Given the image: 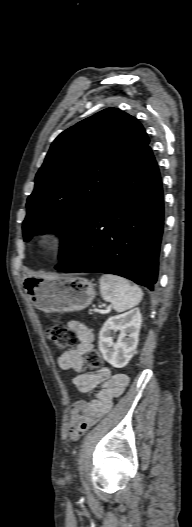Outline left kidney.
Segmentation results:
<instances>
[{
	"instance_id": "1",
	"label": "left kidney",
	"mask_w": 192,
	"mask_h": 527,
	"mask_svg": "<svg viewBox=\"0 0 192 527\" xmlns=\"http://www.w3.org/2000/svg\"><path fill=\"white\" fill-rule=\"evenodd\" d=\"M142 317L138 308L107 319L99 333V350L103 358L115 368L128 364L136 352ZM120 331L113 342L112 334Z\"/></svg>"
}]
</instances>
